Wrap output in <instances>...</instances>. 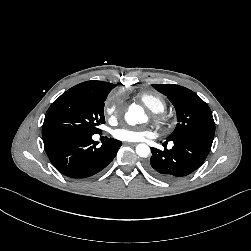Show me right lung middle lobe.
I'll return each mask as SVG.
<instances>
[{"instance_id": "obj_1", "label": "right lung middle lobe", "mask_w": 251, "mask_h": 251, "mask_svg": "<svg viewBox=\"0 0 251 251\" xmlns=\"http://www.w3.org/2000/svg\"><path fill=\"white\" fill-rule=\"evenodd\" d=\"M107 95L69 89L48 109L42 138L58 135L83 136L99 133L98 126L105 123L104 101Z\"/></svg>"}]
</instances>
